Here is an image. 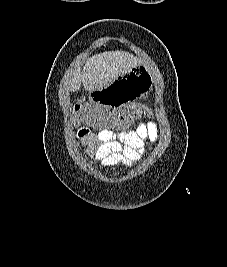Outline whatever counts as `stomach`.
Masks as SVG:
<instances>
[{"label":"stomach","instance_id":"0dacf381","mask_svg":"<svg viewBox=\"0 0 227 267\" xmlns=\"http://www.w3.org/2000/svg\"><path fill=\"white\" fill-rule=\"evenodd\" d=\"M152 78L153 73H147L146 64H134L128 73L112 77V82H107V87H95V91H89L87 104H102V107L136 104V101H140V96H147L149 87H156Z\"/></svg>","mask_w":227,"mask_h":267}]
</instances>
